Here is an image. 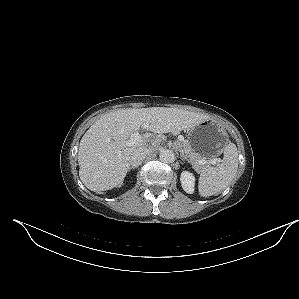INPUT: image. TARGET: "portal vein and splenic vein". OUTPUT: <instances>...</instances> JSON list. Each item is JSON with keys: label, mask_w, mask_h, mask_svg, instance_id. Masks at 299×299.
<instances>
[{"label": "portal vein and splenic vein", "mask_w": 299, "mask_h": 299, "mask_svg": "<svg viewBox=\"0 0 299 299\" xmlns=\"http://www.w3.org/2000/svg\"><path fill=\"white\" fill-rule=\"evenodd\" d=\"M141 140V135L138 133V132H134L131 136H130V139L128 141V145H132V144H136L138 143L139 141ZM178 140L179 141H183L184 140V137L183 136H179L178 137ZM217 162H219L218 159H212V160H209V161H206V160H200L199 161V165H205V164H216Z\"/></svg>", "instance_id": "obj_1"}]
</instances>
